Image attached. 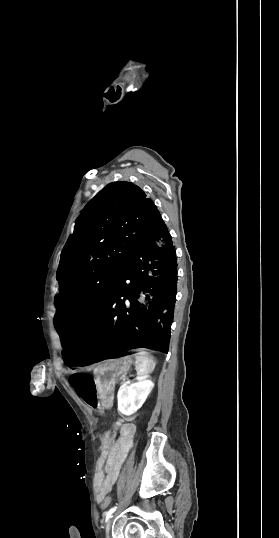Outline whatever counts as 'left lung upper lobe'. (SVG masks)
Instances as JSON below:
<instances>
[{
  "label": "left lung upper lobe",
  "mask_w": 279,
  "mask_h": 538,
  "mask_svg": "<svg viewBox=\"0 0 279 538\" xmlns=\"http://www.w3.org/2000/svg\"><path fill=\"white\" fill-rule=\"evenodd\" d=\"M159 216L153 201L128 182H113L90 201L61 252L54 320L59 336L90 327Z\"/></svg>",
  "instance_id": "5c2ea615"
}]
</instances>
